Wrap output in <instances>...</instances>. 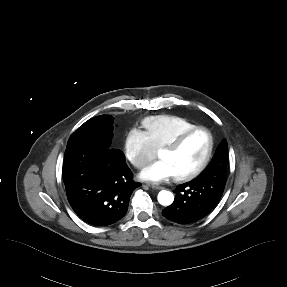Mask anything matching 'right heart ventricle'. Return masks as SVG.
I'll return each mask as SVG.
<instances>
[{"label":"right heart ventricle","instance_id":"obj_1","mask_svg":"<svg viewBox=\"0 0 287 287\" xmlns=\"http://www.w3.org/2000/svg\"><path fill=\"white\" fill-rule=\"evenodd\" d=\"M142 125L145 128L144 133L156 149L196 126L183 116L171 114L146 117L142 120Z\"/></svg>","mask_w":287,"mask_h":287}]
</instances>
